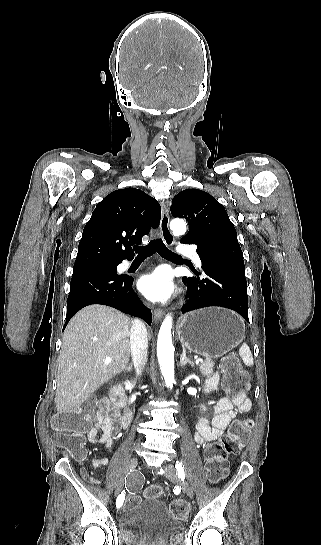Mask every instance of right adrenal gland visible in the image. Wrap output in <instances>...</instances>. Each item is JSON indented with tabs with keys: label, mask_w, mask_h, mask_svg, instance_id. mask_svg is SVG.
Segmentation results:
<instances>
[{
	"label": "right adrenal gland",
	"mask_w": 321,
	"mask_h": 545,
	"mask_svg": "<svg viewBox=\"0 0 321 545\" xmlns=\"http://www.w3.org/2000/svg\"><path fill=\"white\" fill-rule=\"evenodd\" d=\"M132 367H133V365H132V363H130L129 367H126V371H131Z\"/></svg>",
	"instance_id": "2a0ac1e0"
}]
</instances>
